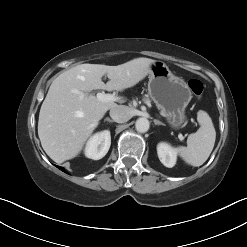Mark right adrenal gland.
I'll list each match as a JSON object with an SVG mask.
<instances>
[{"label":"right adrenal gland","mask_w":247,"mask_h":247,"mask_svg":"<svg viewBox=\"0 0 247 247\" xmlns=\"http://www.w3.org/2000/svg\"><path fill=\"white\" fill-rule=\"evenodd\" d=\"M104 121H107V122H109V123H113V122H114L113 120H111V119H110V118H108V117H107V118H105V119H104Z\"/></svg>","instance_id":"right-adrenal-gland-1"}]
</instances>
